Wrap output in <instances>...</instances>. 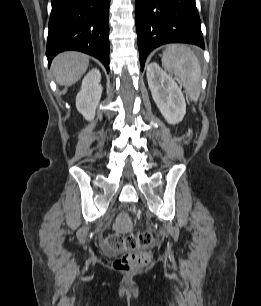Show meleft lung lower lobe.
Instances as JSON below:
<instances>
[{"label":"left lung lower lobe","mask_w":261,"mask_h":306,"mask_svg":"<svg viewBox=\"0 0 261 306\" xmlns=\"http://www.w3.org/2000/svg\"><path fill=\"white\" fill-rule=\"evenodd\" d=\"M135 23L143 71L148 54L167 43H189L204 49L195 0H136Z\"/></svg>","instance_id":"left-lung-lower-lobe-1"}]
</instances>
